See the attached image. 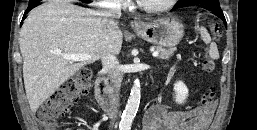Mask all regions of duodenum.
<instances>
[{
	"label": "duodenum",
	"instance_id": "duodenum-1",
	"mask_svg": "<svg viewBox=\"0 0 257 130\" xmlns=\"http://www.w3.org/2000/svg\"><path fill=\"white\" fill-rule=\"evenodd\" d=\"M95 95L97 101L109 116L114 117L117 109L115 105V98L110 89L107 79L102 75L99 76L95 83Z\"/></svg>",
	"mask_w": 257,
	"mask_h": 130
}]
</instances>
